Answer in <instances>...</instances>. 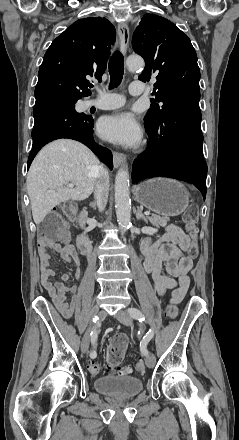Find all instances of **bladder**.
Instances as JSON below:
<instances>
[{"label": "bladder", "instance_id": "1", "mask_svg": "<svg viewBox=\"0 0 239 440\" xmlns=\"http://www.w3.org/2000/svg\"><path fill=\"white\" fill-rule=\"evenodd\" d=\"M94 387L104 395L126 399L138 395L143 389V383L133 376H105L97 378Z\"/></svg>", "mask_w": 239, "mask_h": 440}]
</instances>
